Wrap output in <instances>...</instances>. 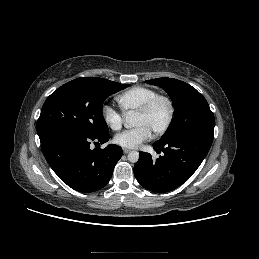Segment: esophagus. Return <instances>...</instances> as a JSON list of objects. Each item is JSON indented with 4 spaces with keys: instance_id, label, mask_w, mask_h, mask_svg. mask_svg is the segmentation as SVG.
Here are the masks:
<instances>
[{
    "instance_id": "1",
    "label": "esophagus",
    "mask_w": 259,
    "mask_h": 259,
    "mask_svg": "<svg viewBox=\"0 0 259 259\" xmlns=\"http://www.w3.org/2000/svg\"><path fill=\"white\" fill-rule=\"evenodd\" d=\"M129 152H130L129 149H126V148L123 149V153L127 154V153H129Z\"/></svg>"
}]
</instances>
